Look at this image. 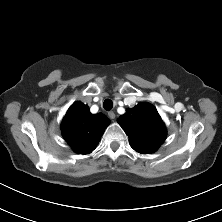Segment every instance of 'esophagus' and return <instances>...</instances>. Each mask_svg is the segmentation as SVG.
<instances>
[{
	"label": "esophagus",
	"instance_id": "esophagus-1",
	"mask_svg": "<svg viewBox=\"0 0 222 222\" xmlns=\"http://www.w3.org/2000/svg\"><path fill=\"white\" fill-rule=\"evenodd\" d=\"M108 116L110 119H115V113L113 111L108 112Z\"/></svg>",
	"mask_w": 222,
	"mask_h": 222
}]
</instances>
